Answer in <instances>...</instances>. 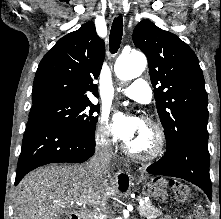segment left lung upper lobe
Here are the masks:
<instances>
[{
    "mask_svg": "<svg viewBox=\"0 0 221 219\" xmlns=\"http://www.w3.org/2000/svg\"><path fill=\"white\" fill-rule=\"evenodd\" d=\"M133 42L148 59L167 149L178 146L189 135L208 138L207 92L192 49L149 20L137 24Z\"/></svg>",
    "mask_w": 221,
    "mask_h": 219,
    "instance_id": "obj_1",
    "label": "left lung upper lobe"
}]
</instances>
